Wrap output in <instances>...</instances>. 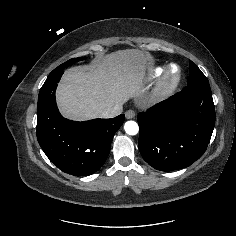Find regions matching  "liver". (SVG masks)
Instances as JSON below:
<instances>
[{
	"label": "liver",
	"mask_w": 236,
	"mask_h": 236,
	"mask_svg": "<svg viewBox=\"0 0 236 236\" xmlns=\"http://www.w3.org/2000/svg\"><path fill=\"white\" fill-rule=\"evenodd\" d=\"M148 58L138 50H120L102 63L67 70L56 93L61 114L83 121L122 105L140 90L143 63Z\"/></svg>",
	"instance_id": "1"
}]
</instances>
